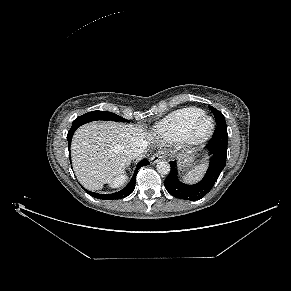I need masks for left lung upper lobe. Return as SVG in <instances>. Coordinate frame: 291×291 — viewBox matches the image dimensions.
Instances as JSON below:
<instances>
[{"instance_id": "obj_1", "label": "left lung upper lobe", "mask_w": 291, "mask_h": 291, "mask_svg": "<svg viewBox=\"0 0 291 291\" xmlns=\"http://www.w3.org/2000/svg\"><path fill=\"white\" fill-rule=\"evenodd\" d=\"M210 110L212 111V113L215 116L217 128L221 127V128L227 129L225 117L223 116V114L220 111H218L217 109H215L214 107H210Z\"/></svg>"}]
</instances>
